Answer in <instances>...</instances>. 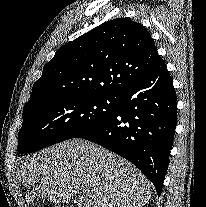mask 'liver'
I'll use <instances>...</instances> for the list:
<instances>
[{
	"mask_svg": "<svg viewBox=\"0 0 206 207\" xmlns=\"http://www.w3.org/2000/svg\"><path fill=\"white\" fill-rule=\"evenodd\" d=\"M19 183L35 198L79 207H142L152 195L151 183L132 163L97 144L72 139L24 158Z\"/></svg>",
	"mask_w": 206,
	"mask_h": 207,
	"instance_id": "6515ba94",
	"label": "liver"
}]
</instances>
